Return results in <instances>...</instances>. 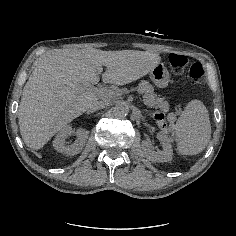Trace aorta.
<instances>
[{
  "label": "aorta",
  "mask_w": 236,
  "mask_h": 236,
  "mask_svg": "<svg viewBox=\"0 0 236 236\" xmlns=\"http://www.w3.org/2000/svg\"><path fill=\"white\" fill-rule=\"evenodd\" d=\"M128 113H129V105L126 102L121 101L115 105L114 107L115 116L125 117L128 115Z\"/></svg>",
  "instance_id": "obj_1"
}]
</instances>
